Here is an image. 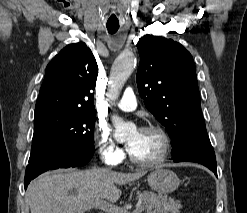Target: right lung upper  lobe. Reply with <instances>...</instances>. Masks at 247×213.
I'll use <instances>...</instances> for the list:
<instances>
[{"label": "right lung upper lobe", "instance_id": "obj_1", "mask_svg": "<svg viewBox=\"0 0 247 213\" xmlns=\"http://www.w3.org/2000/svg\"><path fill=\"white\" fill-rule=\"evenodd\" d=\"M98 66L85 43L70 44L47 65L35 114L49 110L95 111Z\"/></svg>", "mask_w": 247, "mask_h": 213}]
</instances>
